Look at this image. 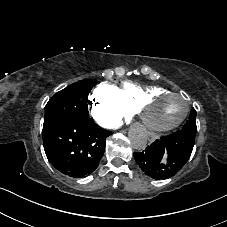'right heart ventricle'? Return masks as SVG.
<instances>
[{
    "mask_svg": "<svg viewBox=\"0 0 227 227\" xmlns=\"http://www.w3.org/2000/svg\"><path fill=\"white\" fill-rule=\"evenodd\" d=\"M167 89L158 85H142L134 82H123L119 88L122 102L129 113L134 112L138 104L148 95L166 91Z\"/></svg>",
    "mask_w": 227,
    "mask_h": 227,
    "instance_id": "e07e8e85",
    "label": "right heart ventricle"
}]
</instances>
